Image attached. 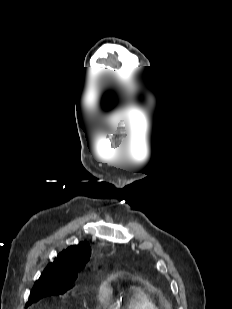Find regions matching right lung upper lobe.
Wrapping results in <instances>:
<instances>
[{
	"label": "right lung upper lobe",
	"instance_id": "obj_1",
	"mask_svg": "<svg viewBox=\"0 0 232 309\" xmlns=\"http://www.w3.org/2000/svg\"><path fill=\"white\" fill-rule=\"evenodd\" d=\"M91 249L87 242H80L63 250L58 254L53 263H50L38 281H74L77 272L89 260Z\"/></svg>",
	"mask_w": 232,
	"mask_h": 309
}]
</instances>
